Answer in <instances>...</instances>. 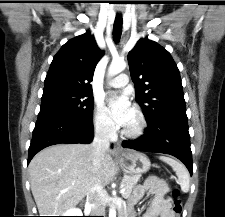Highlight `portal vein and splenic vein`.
I'll list each match as a JSON object with an SVG mask.
<instances>
[{
	"label": "portal vein and splenic vein",
	"mask_w": 225,
	"mask_h": 217,
	"mask_svg": "<svg viewBox=\"0 0 225 217\" xmlns=\"http://www.w3.org/2000/svg\"><path fill=\"white\" fill-rule=\"evenodd\" d=\"M125 192V188H121L120 193H124Z\"/></svg>",
	"instance_id": "portal-vein-and-splenic-vein-1"
}]
</instances>
